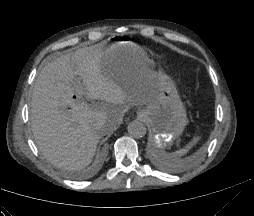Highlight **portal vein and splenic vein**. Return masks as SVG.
<instances>
[{
    "label": "portal vein and splenic vein",
    "mask_w": 254,
    "mask_h": 216,
    "mask_svg": "<svg viewBox=\"0 0 254 216\" xmlns=\"http://www.w3.org/2000/svg\"><path fill=\"white\" fill-rule=\"evenodd\" d=\"M84 92H85V88L83 87L82 83L80 81H77L75 83V94L78 101H80V99L84 95Z\"/></svg>",
    "instance_id": "1"
}]
</instances>
